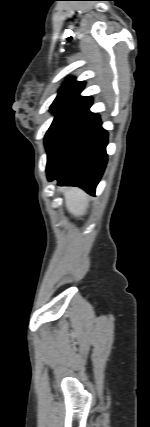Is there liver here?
I'll return each instance as SVG.
<instances>
[{
    "instance_id": "obj_1",
    "label": "liver",
    "mask_w": 150,
    "mask_h": 427,
    "mask_svg": "<svg viewBox=\"0 0 150 427\" xmlns=\"http://www.w3.org/2000/svg\"><path fill=\"white\" fill-rule=\"evenodd\" d=\"M67 210L75 217L83 216L89 206L85 192L77 188L62 190Z\"/></svg>"
}]
</instances>
